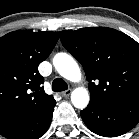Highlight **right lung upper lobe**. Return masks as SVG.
Instances as JSON below:
<instances>
[{
  "instance_id": "right-lung-upper-lobe-1",
  "label": "right lung upper lobe",
  "mask_w": 139,
  "mask_h": 139,
  "mask_svg": "<svg viewBox=\"0 0 139 139\" xmlns=\"http://www.w3.org/2000/svg\"><path fill=\"white\" fill-rule=\"evenodd\" d=\"M57 40V32L27 30L0 38V132L31 118L54 101L44 92L37 68Z\"/></svg>"
}]
</instances>
